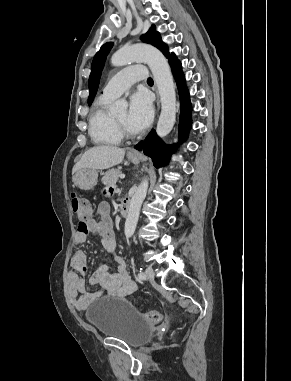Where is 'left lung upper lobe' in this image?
Masks as SVG:
<instances>
[{
	"label": "left lung upper lobe",
	"mask_w": 291,
	"mask_h": 381,
	"mask_svg": "<svg viewBox=\"0 0 291 381\" xmlns=\"http://www.w3.org/2000/svg\"><path fill=\"white\" fill-rule=\"evenodd\" d=\"M142 41L149 43L155 47H157L167 58L170 56L168 52L167 45L162 42L160 34L156 31L155 25H152L149 31L141 36ZM113 43L108 42L104 44L100 50L96 53L92 66H91V74L89 77V98L88 104L90 105L92 100L94 99L97 89L99 86L100 76L102 72V68L104 66V62L107 54L109 53Z\"/></svg>",
	"instance_id": "1"
}]
</instances>
